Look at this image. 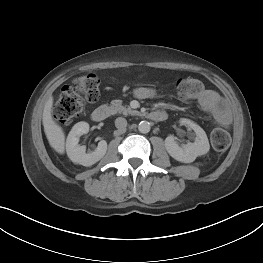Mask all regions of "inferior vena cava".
<instances>
[{
	"instance_id": "obj_1",
	"label": "inferior vena cava",
	"mask_w": 263,
	"mask_h": 263,
	"mask_svg": "<svg viewBox=\"0 0 263 263\" xmlns=\"http://www.w3.org/2000/svg\"><path fill=\"white\" fill-rule=\"evenodd\" d=\"M115 126L118 130L125 131L126 126H127V120L123 117H118L115 120Z\"/></svg>"
}]
</instances>
